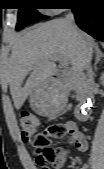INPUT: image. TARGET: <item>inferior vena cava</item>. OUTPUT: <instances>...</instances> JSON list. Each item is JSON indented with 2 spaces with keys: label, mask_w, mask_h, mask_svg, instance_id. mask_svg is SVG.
I'll list each match as a JSON object with an SVG mask.
<instances>
[{
  "label": "inferior vena cava",
  "mask_w": 104,
  "mask_h": 169,
  "mask_svg": "<svg viewBox=\"0 0 104 169\" xmlns=\"http://www.w3.org/2000/svg\"><path fill=\"white\" fill-rule=\"evenodd\" d=\"M65 20H66L68 26L70 27V29L72 30V32L74 34H76V26H75V23H74V15L71 11L67 12ZM85 69H86V74H87L89 83L93 86L94 85V73H93L91 63H90L89 60L87 61Z\"/></svg>",
  "instance_id": "inferior-vena-cava-1"
}]
</instances>
